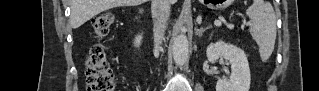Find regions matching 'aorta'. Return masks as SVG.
I'll return each instance as SVG.
<instances>
[{
	"mask_svg": "<svg viewBox=\"0 0 319 91\" xmlns=\"http://www.w3.org/2000/svg\"><path fill=\"white\" fill-rule=\"evenodd\" d=\"M172 53L175 64L183 66L187 61L189 53V42L185 31H182L174 39Z\"/></svg>",
	"mask_w": 319,
	"mask_h": 91,
	"instance_id": "762f6f07",
	"label": "aorta"
}]
</instances>
